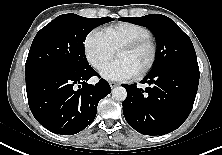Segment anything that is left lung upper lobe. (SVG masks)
<instances>
[{
    "label": "left lung upper lobe",
    "mask_w": 222,
    "mask_h": 155,
    "mask_svg": "<svg viewBox=\"0 0 222 155\" xmlns=\"http://www.w3.org/2000/svg\"><path fill=\"white\" fill-rule=\"evenodd\" d=\"M119 20L147 27L154 34L157 52L150 72L175 66L199 70L189 36L170 18L161 14H150L143 17H122Z\"/></svg>",
    "instance_id": "5c2ea615"
}]
</instances>
